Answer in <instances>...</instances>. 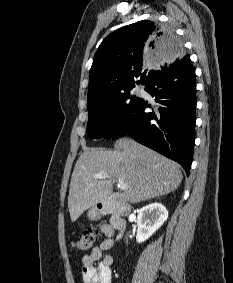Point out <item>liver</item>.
<instances>
[{
    "label": "liver",
    "instance_id": "obj_1",
    "mask_svg": "<svg viewBox=\"0 0 233 283\" xmlns=\"http://www.w3.org/2000/svg\"><path fill=\"white\" fill-rule=\"evenodd\" d=\"M101 172L108 176L95 179L94 175ZM182 179L176 162L129 138L116 141L114 150L86 149L78 158L71 176L70 218L75 222L84 211L106 201L117 180L128 185L123 196L135 204L173 192Z\"/></svg>",
    "mask_w": 233,
    "mask_h": 283
}]
</instances>
